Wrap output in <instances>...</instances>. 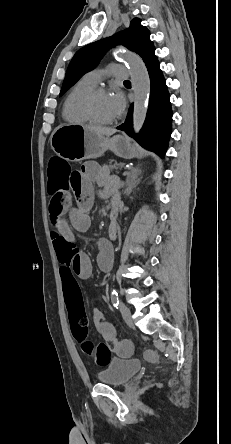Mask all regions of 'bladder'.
Instances as JSON below:
<instances>
[{"mask_svg":"<svg viewBox=\"0 0 231 444\" xmlns=\"http://www.w3.org/2000/svg\"><path fill=\"white\" fill-rule=\"evenodd\" d=\"M142 363L135 359L112 358L101 370L98 380L110 386H121L140 371Z\"/></svg>","mask_w":231,"mask_h":444,"instance_id":"bladder-1","label":"bladder"}]
</instances>
